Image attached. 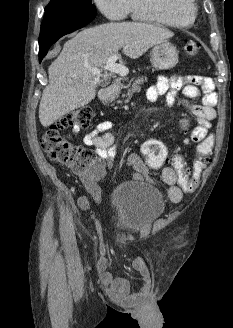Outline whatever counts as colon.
I'll list each match as a JSON object with an SVG mask.
<instances>
[{"mask_svg":"<svg viewBox=\"0 0 233 328\" xmlns=\"http://www.w3.org/2000/svg\"><path fill=\"white\" fill-rule=\"evenodd\" d=\"M184 49L187 55L195 56L199 52L200 45L189 41ZM92 119L93 111L90 108L74 110L47 127L40 137L41 147L51 160L68 166L85 178H92L100 172L95 153L91 149L69 142L66 132L78 135L91 126ZM181 126L186 128V121H182ZM213 143L214 139L210 134L198 144L191 167L186 166L181 155H174L168 159L167 148L155 139L144 142L141 151L147 164L152 168H158L169 161L170 167L177 174L181 189L192 192L199 184L202 171L212 162Z\"/></svg>","mask_w":233,"mask_h":328,"instance_id":"colon-1","label":"colon"}]
</instances>
